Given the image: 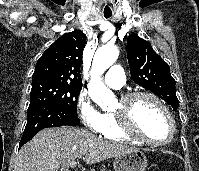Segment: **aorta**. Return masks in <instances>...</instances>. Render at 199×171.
<instances>
[{"instance_id": "obj_1", "label": "aorta", "mask_w": 199, "mask_h": 171, "mask_svg": "<svg viewBox=\"0 0 199 171\" xmlns=\"http://www.w3.org/2000/svg\"><path fill=\"white\" fill-rule=\"evenodd\" d=\"M118 56L117 47L103 46L96 51L93 59L88 90L92 100L102 109H109L115 104V96L106 87L101 75L117 60Z\"/></svg>"}]
</instances>
